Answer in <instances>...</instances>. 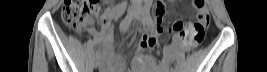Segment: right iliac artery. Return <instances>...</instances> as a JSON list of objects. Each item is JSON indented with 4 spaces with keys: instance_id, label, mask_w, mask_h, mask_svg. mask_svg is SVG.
Instances as JSON below:
<instances>
[{
    "instance_id": "right-iliac-artery-1",
    "label": "right iliac artery",
    "mask_w": 267,
    "mask_h": 72,
    "mask_svg": "<svg viewBox=\"0 0 267 72\" xmlns=\"http://www.w3.org/2000/svg\"><path fill=\"white\" fill-rule=\"evenodd\" d=\"M133 19V14L131 13L130 15L126 16L123 21L120 24V30L121 31H125L127 30V28L129 27V25L131 24V21ZM100 56V49H98L95 52V58H98Z\"/></svg>"
}]
</instances>
